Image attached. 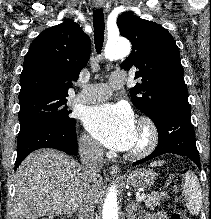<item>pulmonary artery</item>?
<instances>
[{"label":"pulmonary artery","mask_w":211,"mask_h":219,"mask_svg":"<svg viewBox=\"0 0 211 219\" xmlns=\"http://www.w3.org/2000/svg\"><path fill=\"white\" fill-rule=\"evenodd\" d=\"M126 82V74L122 71H114L110 77V83L90 84L77 94L75 101L82 104H93L107 99L113 88H119Z\"/></svg>","instance_id":"pulmonary-artery-1"}]
</instances>
